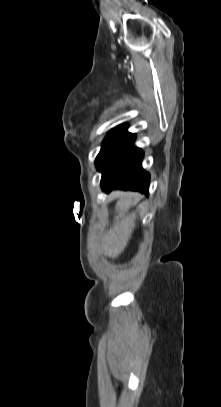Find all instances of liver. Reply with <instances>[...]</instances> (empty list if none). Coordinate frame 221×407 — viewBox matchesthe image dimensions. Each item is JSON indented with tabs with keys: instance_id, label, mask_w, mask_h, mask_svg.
Segmentation results:
<instances>
[{
	"instance_id": "6515ba94",
	"label": "liver",
	"mask_w": 221,
	"mask_h": 407,
	"mask_svg": "<svg viewBox=\"0 0 221 407\" xmlns=\"http://www.w3.org/2000/svg\"><path fill=\"white\" fill-rule=\"evenodd\" d=\"M119 200L116 204L117 215L114 218V226L103 236L102 251L111 258L121 255L134 231L136 215L130 214V206L140 198L137 192H114Z\"/></svg>"
}]
</instances>
